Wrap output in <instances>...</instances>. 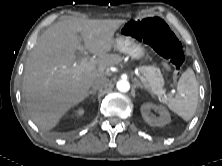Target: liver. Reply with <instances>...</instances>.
<instances>
[{"label":"liver","mask_w":222,"mask_h":166,"mask_svg":"<svg viewBox=\"0 0 222 166\" xmlns=\"http://www.w3.org/2000/svg\"><path fill=\"white\" fill-rule=\"evenodd\" d=\"M124 23L119 19L69 18L50 26L38 38L26 62L22 90L27 112L40 130L53 129L87 96L92 82L105 76L106 67L121 62V56L109 52L114 33ZM84 48L98 56L97 68L75 73L76 52Z\"/></svg>","instance_id":"liver-1"}]
</instances>
